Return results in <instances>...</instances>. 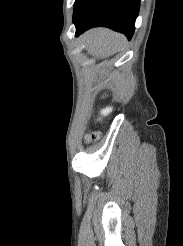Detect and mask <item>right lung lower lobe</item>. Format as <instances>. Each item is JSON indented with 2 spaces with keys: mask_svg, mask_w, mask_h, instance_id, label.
<instances>
[{
  "mask_svg": "<svg viewBox=\"0 0 183 246\" xmlns=\"http://www.w3.org/2000/svg\"><path fill=\"white\" fill-rule=\"evenodd\" d=\"M140 0H81L73 14L75 36L92 27H108L130 40L135 30Z\"/></svg>",
  "mask_w": 183,
  "mask_h": 246,
  "instance_id": "1",
  "label": "right lung lower lobe"
}]
</instances>
